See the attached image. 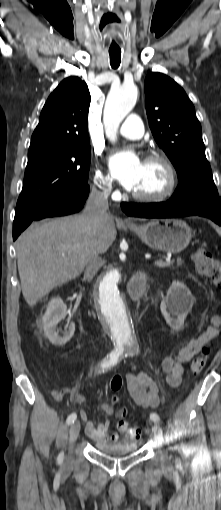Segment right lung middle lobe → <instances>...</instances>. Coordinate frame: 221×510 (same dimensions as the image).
Returning <instances> with one entry per match:
<instances>
[{
  "label": "right lung middle lobe",
  "instance_id": "dd1d6c3e",
  "mask_svg": "<svg viewBox=\"0 0 221 510\" xmlns=\"http://www.w3.org/2000/svg\"><path fill=\"white\" fill-rule=\"evenodd\" d=\"M90 144L28 156L22 192L15 214L28 218L48 205L88 185Z\"/></svg>",
  "mask_w": 221,
  "mask_h": 510
}]
</instances>
